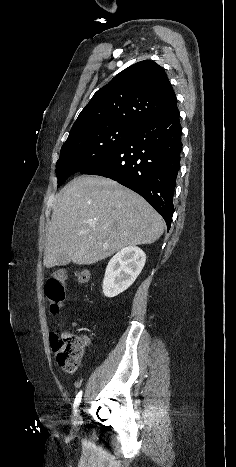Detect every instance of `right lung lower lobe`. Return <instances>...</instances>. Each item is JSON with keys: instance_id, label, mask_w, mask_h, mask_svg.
Returning <instances> with one entry per match:
<instances>
[{"instance_id": "obj_1", "label": "right lung lower lobe", "mask_w": 236, "mask_h": 467, "mask_svg": "<svg viewBox=\"0 0 236 467\" xmlns=\"http://www.w3.org/2000/svg\"><path fill=\"white\" fill-rule=\"evenodd\" d=\"M179 118L176 106L137 128L116 150L80 173L104 176L137 192L170 228L182 149Z\"/></svg>"}]
</instances>
